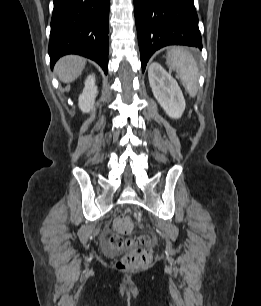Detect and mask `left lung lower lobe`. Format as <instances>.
I'll return each mask as SVG.
<instances>
[{"mask_svg":"<svg viewBox=\"0 0 261 306\" xmlns=\"http://www.w3.org/2000/svg\"><path fill=\"white\" fill-rule=\"evenodd\" d=\"M142 71L151 55L167 45L202 49L193 0H134Z\"/></svg>","mask_w":261,"mask_h":306,"instance_id":"obj_1","label":"left lung lower lobe"}]
</instances>
